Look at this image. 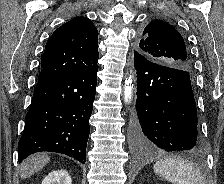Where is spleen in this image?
<instances>
[{
    "label": "spleen",
    "instance_id": "1",
    "mask_svg": "<svg viewBox=\"0 0 224 184\" xmlns=\"http://www.w3.org/2000/svg\"><path fill=\"white\" fill-rule=\"evenodd\" d=\"M153 170L174 184H204L201 171L185 160L162 159L154 164Z\"/></svg>",
    "mask_w": 224,
    "mask_h": 184
}]
</instances>
